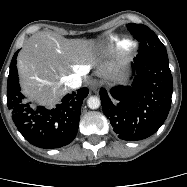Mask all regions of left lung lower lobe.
<instances>
[{"mask_svg":"<svg viewBox=\"0 0 187 187\" xmlns=\"http://www.w3.org/2000/svg\"><path fill=\"white\" fill-rule=\"evenodd\" d=\"M131 84L100 89L102 109L118 134L127 141L145 139L166 120L173 92L168 59L138 54Z\"/></svg>","mask_w":187,"mask_h":187,"instance_id":"1","label":"left lung lower lobe"}]
</instances>
